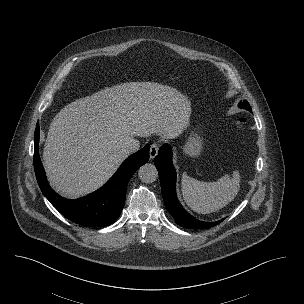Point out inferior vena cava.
<instances>
[{
    "label": "inferior vena cava",
    "mask_w": 304,
    "mask_h": 304,
    "mask_svg": "<svg viewBox=\"0 0 304 304\" xmlns=\"http://www.w3.org/2000/svg\"><path fill=\"white\" fill-rule=\"evenodd\" d=\"M140 145L138 143V141L134 140V139H130L129 141H127L125 143V149L127 151V153H133L135 151H137L139 149Z\"/></svg>",
    "instance_id": "obj_1"
}]
</instances>
